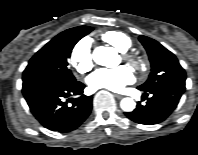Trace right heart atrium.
<instances>
[{"label": "right heart atrium", "instance_id": "obj_1", "mask_svg": "<svg viewBox=\"0 0 198 155\" xmlns=\"http://www.w3.org/2000/svg\"><path fill=\"white\" fill-rule=\"evenodd\" d=\"M70 62L77 72L84 74L92 69L93 57L88 39L80 40L72 49Z\"/></svg>", "mask_w": 198, "mask_h": 155}]
</instances>
